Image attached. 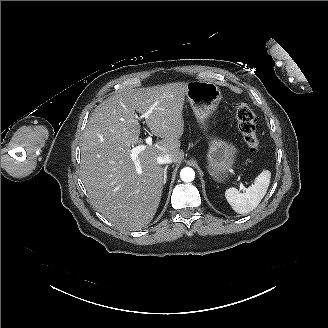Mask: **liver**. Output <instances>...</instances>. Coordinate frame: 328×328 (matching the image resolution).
<instances>
[{
	"label": "liver",
	"instance_id": "1",
	"mask_svg": "<svg viewBox=\"0 0 328 328\" xmlns=\"http://www.w3.org/2000/svg\"><path fill=\"white\" fill-rule=\"evenodd\" d=\"M186 85L167 83L115 94L95 108L87 123L81 138L82 181L96 209L120 228L140 229L157 211L164 183L157 157L168 154L178 161ZM135 111L162 138L138 154L142 174L130 156L131 147L142 142Z\"/></svg>",
	"mask_w": 328,
	"mask_h": 328
}]
</instances>
